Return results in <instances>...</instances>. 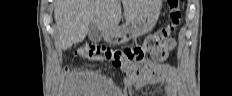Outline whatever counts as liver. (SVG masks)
I'll return each mask as SVG.
<instances>
[{
	"instance_id": "6515ba94",
	"label": "liver",
	"mask_w": 232,
	"mask_h": 96,
	"mask_svg": "<svg viewBox=\"0 0 232 96\" xmlns=\"http://www.w3.org/2000/svg\"><path fill=\"white\" fill-rule=\"evenodd\" d=\"M121 2L127 22H133L150 4V0H56L54 18L61 48L82 42L91 22L103 32L117 29Z\"/></svg>"
}]
</instances>
